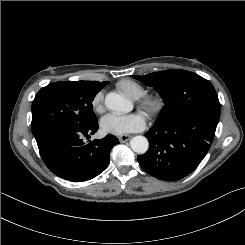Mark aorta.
<instances>
[{"label":"aorta","instance_id":"762f6f07","mask_svg":"<svg viewBox=\"0 0 245 245\" xmlns=\"http://www.w3.org/2000/svg\"><path fill=\"white\" fill-rule=\"evenodd\" d=\"M105 106L114 112L128 111V101L118 93L110 92L105 97ZM132 150L138 154L147 152L149 142L144 136H135L130 140Z\"/></svg>","mask_w":245,"mask_h":245}]
</instances>
